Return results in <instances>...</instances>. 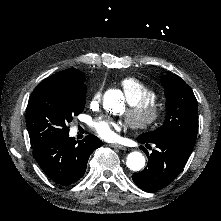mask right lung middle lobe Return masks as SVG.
I'll use <instances>...</instances> for the list:
<instances>
[{
    "label": "right lung middle lobe",
    "mask_w": 221,
    "mask_h": 221,
    "mask_svg": "<svg viewBox=\"0 0 221 221\" xmlns=\"http://www.w3.org/2000/svg\"><path fill=\"white\" fill-rule=\"evenodd\" d=\"M84 79L72 83L43 80L32 92L26 110L31 147L68 135L73 116L85 107Z\"/></svg>",
    "instance_id": "1"
}]
</instances>
